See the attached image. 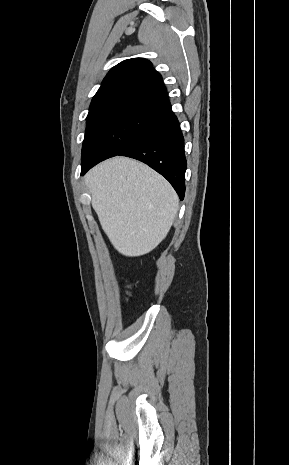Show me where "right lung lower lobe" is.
I'll return each instance as SVG.
<instances>
[{
  "label": "right lung lower lobe",
  "mask_w": 289,
  "mask_h": 465,
  "mask_svg": "<svg viewBox=\"0 0 289 465\" xmlns=\"http://www.w3.org/2000/svg\"><path fill=\"white\" fill-rule=\"evenodd\" d=\"M117 155L140 160L162 174L173 186L180 199L185 194L186 158L184 138L170 102L162 114L135 140ZM102 160L81 163V175Z\"/></svg>",
  "instance_id": "obj_1"
}]
</instances>
